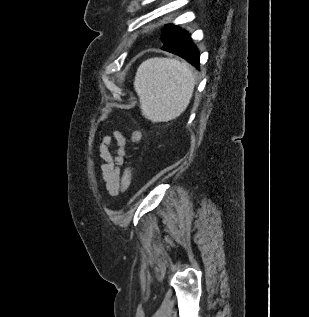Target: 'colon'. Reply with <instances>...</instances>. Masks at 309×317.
Instances as JSON below:
<instances>
[{
  "instance_id": "5ec220e1",
  "label": "colon",
  "mask_w": 309,
  "mask_h": 317,
  "mask_svg": "<svg viewBox=\"0 0 309 317\" xmlns=\"http://www.w3.org/2000/svg\"><path fill=\"white\" fill-rule=\"evenodd\" d=\"M142 134L139 130H136L131 135L132 144H137L141 140ZM132 182V170L130 166H127L122 176V190L127 191L130 188Z\"/></svg>"
}]
</instances>
